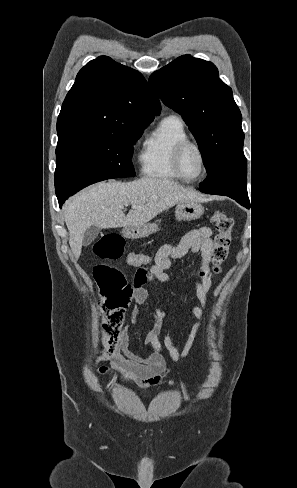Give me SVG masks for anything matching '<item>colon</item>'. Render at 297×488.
Wrapping results in <instances>:
<instances>
[{
	"label": "colon",
	"mask_w": 297,
	"mask_h": 488,
	"mask_svg": "<svg viewBox=\"0 0 297 488\" xmlns=\"http://www.w3.org/2000/svg\"><path fill=\"white\" fill-rule=\"evenodd\" d=\"M212 223L216 234L211 262L213 273H218L221 264L229 254L234 220L221 211H215L212 216ZM94 253L101 259L116 260L120 258L123 254V238L115 233L102 236L94 245ZM93 274L100 287L99 303L104 315L103 355H114L122 335L125 310L130 303L134 288L146 281V267L140 266L137 269L131 283L127 281L120 269L106 263L95 265Z\"/></svg>",
	"instance_id": "1"
}]
</instances>
